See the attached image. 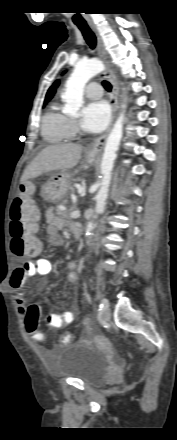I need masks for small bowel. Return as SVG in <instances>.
<instances>
[{"label":"small bowel","mask_w":177,"mask_h":440,"mask_svg":"<svg viewBox=\"0 0 177 440\" xmlns=\"http://www.w3.org/2000/svg\"><path fill=\"white\" fill-rule=\"evenodd\" d=\"M45 219L47 223L46 234L49 243L53 246L63 245L64 240L59 231L67 226L65 220L55 214L54 208H48L45 211ZM76 267V262L71 261L68 263V280L71 284H76L78 281ZM51 269V262L48 259L44 258H38L34 261H28L14 269L10 277L9 284L14 291V300L18 305V311L20 315L24 316L27 314L28 311L26 306L27 298L25 293L22 291L26 280L29 277H33L36 275H46L51 272ZM74 318L75 314L72 311H65L60 314L51 313L48 316V322L52 327H62L72 323Z\"/></svg>","instance_id":"obj_1"}]
</instances>
